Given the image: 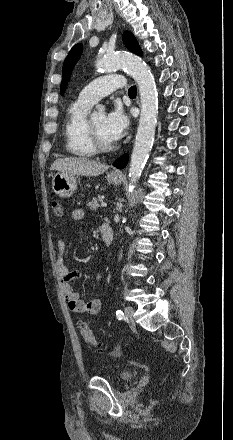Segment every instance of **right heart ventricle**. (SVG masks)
Listing matches in <instances>:
<instances>
[{
    "instance_id": "1",
    "label": "right heart ventricle",
    "mask_w": 233,
    "mask_h": 440,
    "mask_svg": "<svg viewBox=\"0 0 233 440\" xmlns=\"http://www.w3.org/2000/svg\"><path fill=\"white\" fill-rule=\"evenodd\" d=\"M90 107L91 104L78 99L72 102L67 110L64 124L66 149L75 157L88 158L97 152L87 132V115Z\"/></svg>"
}]
</instances>
